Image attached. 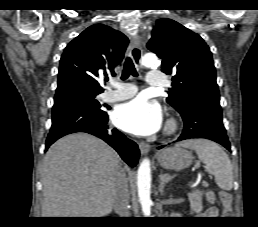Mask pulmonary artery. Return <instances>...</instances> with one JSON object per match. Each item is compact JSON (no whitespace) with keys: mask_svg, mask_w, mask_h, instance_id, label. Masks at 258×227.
<instances>
[{"mask_svg":"<svg viewBox=\"0 0 258 227\" xmlns=\"http://www.w3.org/2000/svg\"><path fill=\"white\" fill-rule=\"evenodd\" d=\"M147 83L150 86L160 87L164 85L165 80L160 71L151 70L147 75ZM112 90L102 94V100L105 102H118L128 99L137 93L135 85L130 83H122L117 81L111 82Z\"/></svg>","mask_w":258,"mask_h":227,"instance_id":"1","label":"pulmonary artery"}]
</instances>
